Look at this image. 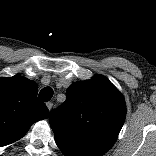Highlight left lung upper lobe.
I'll use <instances>...</instances> for the list:
<instances>
[{
	"label": "left lung upper lobe",
	"instance_id": "5c2ea615",
	"mask_svg": "<svg viewBox=\"0 0 156 156\" xmlns=\"http://www.w3.org/2000/svg\"><path fill=\"white\" fill-rule=\"evenodd\" d=\"M125 116L122 94L97 75L69 86L66 101L51 111L49 122L55 141L87 156H102L116 141Z\"/></svg>",
	"mask_w": 156,
	"mask_h": 156
}]
</instances>
